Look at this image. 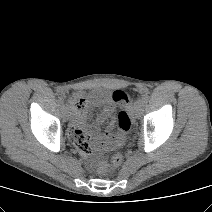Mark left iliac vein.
<instances>
[{"mask_svg":"<svg viewBox=\"0 0 212 212\" xmlns=\"http://www.w3.org/2000/svg\"><path fill=\"white\" fill-rule=\"evenodd\" d=\"M144 104L145 103H144L143 99H139V100L136 101V103H135V113H136L137 118H140V116L142 115Z\"/></svg>","mask_w":212,"mask_h":212,"instance_id":"1","label":"left iliac vein"}]
</instances>
